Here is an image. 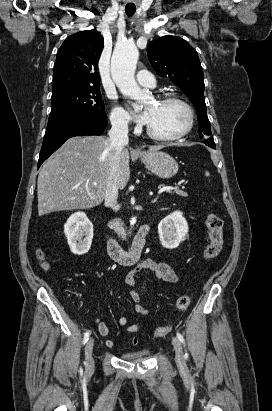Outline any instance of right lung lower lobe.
<instances>
[{
  "instance_id": "right-lung-lower-lobe-1",
  "label": "right lung lower lobe",
  "mask_w": 272,
  "mask_h": 411,
  "mask_svg": "<svg viewBox=\"0 0 272 411\" xmlns=\"http://www.w3.org/2000/svg\"><path fill=\"white\" fill-rule=\"evenodd\" d=\"M107 126V119L81 117L46 129L39 155L38 168L67 139L74 136L101 135Z\"/></svg>"
}]
</instances>
